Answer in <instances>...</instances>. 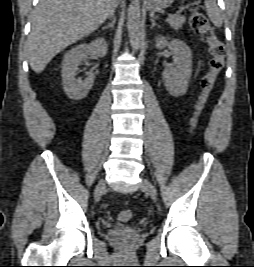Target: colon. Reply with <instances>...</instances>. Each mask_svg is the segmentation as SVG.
Here are the masks:
<instances>
[{"mask_svg":"<svg viewBox=\"0 0 254 267\" xmlns=\"http://www.w3.org/2000/svg\"><path fill=\"white\" fill-rule=\"evenodd\" d=\"M189 11L190 27L202 39V41L207 44L209 53V69L202 78V92L196 104L194 115L191 119V129L195 130L207 99L215 85L216 79L224 67L226 49L224 44L216 37L214 28L206 15L200 11L199 5L197 3H192L189 6ZM130 218L131 211L128 209L121 210L118 213V219L120 221H128Z\"/></svg>","mask_w":254,"mask_h":267,"instance_id":"colon-1","label":"colon"}]
</instances>
